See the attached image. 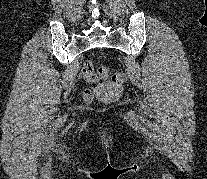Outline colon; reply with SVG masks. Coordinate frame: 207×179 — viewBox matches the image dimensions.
Here are the masks:
<instances>
[{"label":"colon","mask_w":207,"mask_h":179,"mask_svg":"<svg viewBox=\"0 0 207 179\" xmlns=\"http://www.w3.org/2000/svg\"><path fill=\"white\" fill-rule=\"evenodd\" d=\"M83 74L90 82H97L99 78L111 77L115 82L124 83L127 80V74L123 70H118L111 73L107 67H100L97 73L91 61H86L83 67ZM96 94V89L93 87L86 88L83 93V98L86 102H91Z\"/></svg>","instance_id":"obj_1"}]
</instances>
